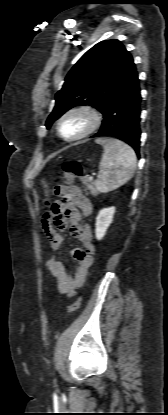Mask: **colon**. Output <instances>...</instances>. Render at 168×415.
Masks as SVG:
<instances>
[{
    "label": "colon",
    "instance_id": "5ec220e1",
    "mask_svg": "<svg viewBox=\"0 0 168 415\" xmlns=\"http://www.w3.org/2000/svg\"><path fill=\"white\" fill-rule=\"evenodd\" d=\"M60 178L64 180L66 183H71L75 179H80L82 188L88 189V191H91L92 195L96 196L100 192L98 188L96 187L94 188L92 181L88 177H85L84 170L77 161L65 162L63 164V174L60 176ZM43 187H44L45 193L48 194L49 188H48L46 181L43 182ZM53 216L54 215L52 214L51 208H50V211L45 213L44 220H49L51 217L53 219ZM81 302H82L81 297H78L72 304H70L67 307V312L72 313V312L77 311L81 306Z\"/></svg>",
    "mask_w": 168,
    "mask_h": 415
}]
</instances>
